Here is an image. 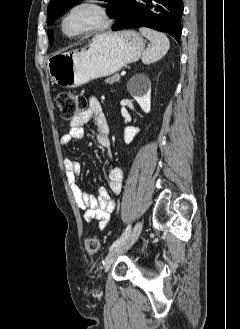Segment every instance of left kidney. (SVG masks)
<instances>
[{
  "mask_svg": "<svg viewBox=\"0 0 240 329\" xmlns=\"http://www.w3.org/2000/svg\"><path fill=\"white\" fill-rule=\"evenodd\" d=\"M140 82L141 88H136L135 83ZM128 91L138 102L139 106L145 113L151 110V83L145 74L134 75L127 85ZM139 132L137 127H126L124 130V141L130 144Z\"/></svg>",
  "mask_w": 240,
  "mask_h": 329,
  "instance_id": "left-kidney-1",
  "label": "left kidney"
}]
</instances>
